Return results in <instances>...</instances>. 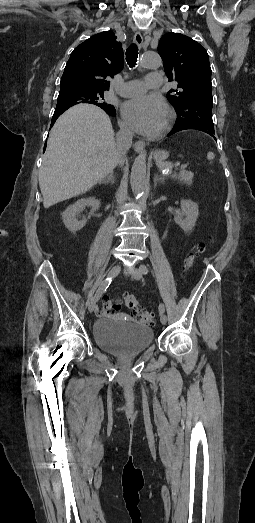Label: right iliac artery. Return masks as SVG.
I'll return each instance as SVG.
<instances>
[{
  "label": "right iliac artery",
  "mask_w": 255,
  "mask_h": 523,
  "mask_svg": "<svg viewBox=\"0 0 255 523\" xmlns=\"http://www.w3.org/2000/svg\"><path fill=\"white\" fill-rule=\"evenodd\" d=\"M111 281H112V278L108 277L100 284V287L98 288V290H97V292H96V294L94 296L97 301L99 300L101 295L107 290V288L109 287Z\"/></svg>",
  "instance_id": "82829eb1"
}]
</instances>
